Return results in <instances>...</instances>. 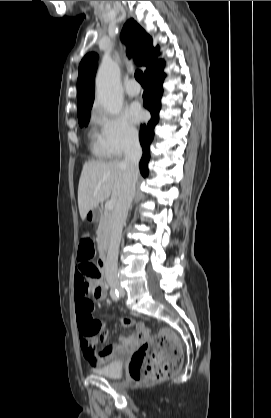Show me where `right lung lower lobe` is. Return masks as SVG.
Listing matches in <instances>:
<instances>
[{
  "instance_id": "1",
  "label": "right lung lower lobe",
  "mask_w": 271,
  "mask_h": 418,
  "mask_svg": "<svg viewBox=\"0 0 271 418\" xmlns=\"http://www.w3.org/2000/svg\"><path fill=\"white\" fill-rule=\"evenodd\" d=\"M163 66L145 75V92L143 94L144 106L151 113V119L147 124L141 125L140 143L143 149V156L140 161V172L146 177L148 174L147 163L150 158L149 145L154 137V128L159 121V111L161 109L160 98L162 96V84L165 78Z\"/></svg>"
}]
</instances>
